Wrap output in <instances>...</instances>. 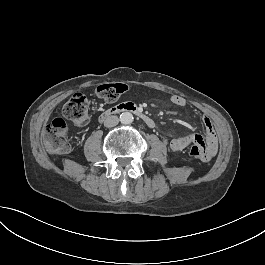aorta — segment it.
<instances>
[{"label": "aorta", "mask_w": 265, "mask_h": 265, "mask_svg": "<svg viewBox=\"0 0 265 265\" xmlns=\"http://www.w3.org/2000/svg\"><path fill=\"white\" fill-rule=\"evenodd\" d=\"M133 119V115L130 112H123L120 115V122L125 125L132 123Z\"/></svg>", "instance_id": "obj_1"}]
</instances>
